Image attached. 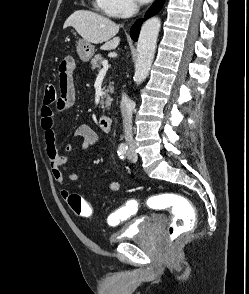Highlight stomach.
<instances>
[{
  "label": "stomach",
  "instance_id": "obj_1",
  "mask_svg": "<svg viewBox=\"0 0 249 294\" xmlns=\"http://www.w3.org/2000/svg\"><path fill=\"white\" fill-rule=\"evenodd\" d=\"M77 53L83 62H88L94 54V46L91 43L80 39L77 42Z\"/></svg>",
  "mask_w": 249,
  "mask_h": 294
}]
</instances>
